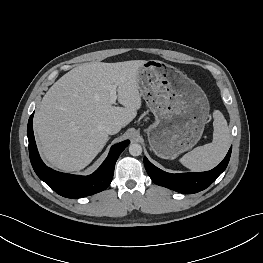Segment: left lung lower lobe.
I'll return each mask as SVG.
<instances>
[{"instance_id":"1","label":"left lung lower lobe","mask_w":263,"mask_h":263,"mask_svg":"<svg viewBox=\"0 0 263 263\" xmlns=\"http://www.w3.org/2000/svg\"><path fill=\"white\" fill-rule=\"evenodd\" d=\"M231 150L232 148L218 166L206 172L171 174L154 166L146 157H144V164L154 183L183 194H193L206 189L226 169Z\"/></svg>"}]
</instances>
